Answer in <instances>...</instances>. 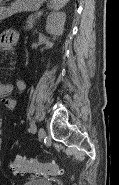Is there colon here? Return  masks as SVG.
Masks as SVG:
<instances>
[{"mask_svg": "<svg viewBox=\"0 0 119 185\" xmlns=\"http://www.w3.org/2000/svg\"><path fill=\"white\" fill-rule=\"evenodd\" d=\"M11 170L16 173H30L44 177H53L61 174V168L54 162H39L34 159L26 160L16 157L11 164Z\"/></svg>", "mask_w": 119, "mask_h": 185, "instance_id": "5ec220e1", "label": "colon"}]
</instances>
